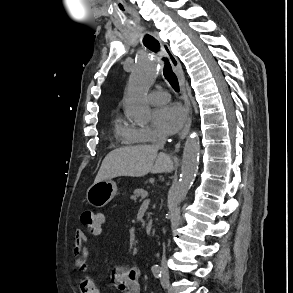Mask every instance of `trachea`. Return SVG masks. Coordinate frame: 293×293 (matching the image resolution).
<instances>
[{"instance_id": "obj_1", "label": "trachea", "mask_w": 293, "mask_h": 293, "mask_svg": "<svg viewBox=\"0 0 293 293\" xmlns=\"http://www.w3.org/2000/svg\"><path fill=\"white\" fill-rule=\"evenodd\" d=\"M143 43L148 49L154 52H158L160 50V44L158 40L151 35H146L143 39ZM163 60L165 62L164 68H163L164 77L168 80L170 85L175 90H178L179 83H178L177 76L174 74L169 60L167 58H163Z\"/></svg>"}]
</instances>
